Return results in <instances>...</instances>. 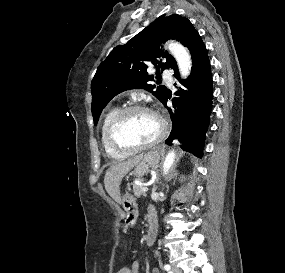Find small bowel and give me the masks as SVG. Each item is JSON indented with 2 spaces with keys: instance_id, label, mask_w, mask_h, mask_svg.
Here are the masks:
<instances>
[{
  "instance_id": "1",
  "label": "small bowel",
  "mask_w": 285,
  "mask_h": 273,
  "mask_svg": "<svg viewBox=\"0 0 285 273\" xmlns=\"http://www.w3.org/2000/svg\"><path fill=\"white\" fill-rule=\"evenodd\" d=\"M126 269L125 273H140V264L138 261H134L131 267H123ZM153 273H158L157 270H154Z\"/></svg>"
}]
</instances>
